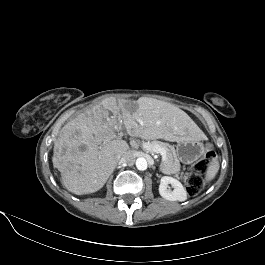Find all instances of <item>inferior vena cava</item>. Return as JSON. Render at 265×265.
I'll return each instance as SVG.
<instances>
[{"label": "inferior vena cava", "instance_id": "obj_1", "mask_svg": "<svg viewBox=\"0 0 265 265\" xmlns=\"http://www.w3.org/2000/svg\"><path fill=\"white\" fill-rule=\"evenodd\" d=\"M134 159V154L131 151H127L120 159H119V163H129L132 162Z\"/></svg>", "mask_w": 265, "mask_h": 265}]
</instances>
